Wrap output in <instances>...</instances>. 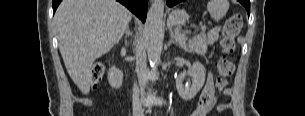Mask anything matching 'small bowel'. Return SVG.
I'll use <instances>...</instances> for the list:
<instances>
[{"mask_svg":"<svg viewBox=\"0 0 305 116\" xmlns=\"http://www.w3.org/2000/svg\"><path fill=\"white\" fill-rule=\"evenodd\" d=\"M216 102L217 96L214 88L213 75L209 72L207 74L204 88L200 94L198 102L196 103L191 113V116H208V113L215 106ZM226 108L227 105L221 104L218 106V111H223Z\"/></svg>","mask_w":305,"mask_h":116,"instance_id":"obj_1","label":"small bowel"}]
</instances>
